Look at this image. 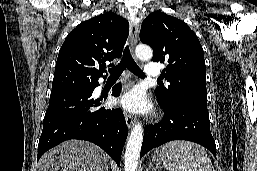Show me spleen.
I'll list each match as a JSON object with an SVG mask.
<instances>
[{"label": "spleen", "mask_w": 257, "mask_h": 171, "mask_svg": "<svg viewBox=\"0 0 257 171\" xmlns=\"http://www.w3.org/2000/svg\"><path fill=\"white\" fill-rule=\"evenodd\" d=\"M162 150L167 154L168 171H214L207 152L200 145L189 141H173Z\"/></svg>", "instance_id": "3e777b00"}]
</instances>
